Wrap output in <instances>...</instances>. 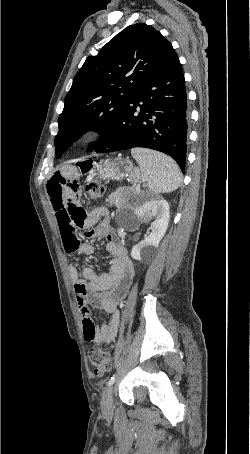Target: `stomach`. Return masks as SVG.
<instances>
[{"label": "stomach", "mask_w": 250, "mask_h": 454, "mask_svg": "<svg viewBox=\"0 0 250 454\" xmlns=\"http://www.w3.org/2000/svg\"><path fill=\"white\" fill-rule=\"evenodd\" d=\"M79 168L88 172L91 178L98 176L102 180L120 179L127 176L131 183H136L142 177V173L133 168L131 161L124 158L111 159L102 164L82 161Z\"/></svg>", "instance_id": "1"}]
</instances>
